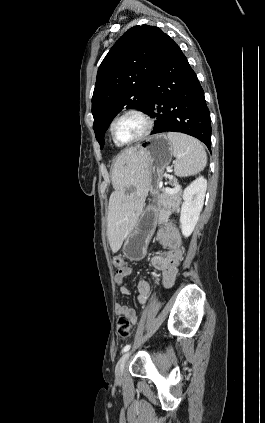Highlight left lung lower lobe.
<instances>
[{
  "instance_id": "1",
  "label": "left lung lower lobe",
  "mask_w": 265,
  "mask_h": 423,
  "mask_svg": "<svg viewBox=\"0 0 265 423\" xmlns=\"http://www.w3.org/2000/svg\"><path fill=\"white\" fill-rule=\"evenodd\" d=\"M151 134L182 132L211 150V121L204 91L180 47L166 35L147 91Z\"/></svg>"
}]
</instances>
